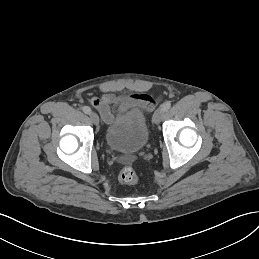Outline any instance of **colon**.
<instances>
[{"mask_svg": "<svg viewBox=\"0 0 259 259\" xmlns=\"http://www.w3.org/2000/svg\"><path fill=\"white\" fill-rule=\"evenodd\" d=\"M118 178L122 183L135 184L139 180V175L133 168L126 167L120 171Z\"/></svg>", "mask_w": 259, "mask_h": 259, "instance_id": "1", "label": "colon"}]
</instances>
